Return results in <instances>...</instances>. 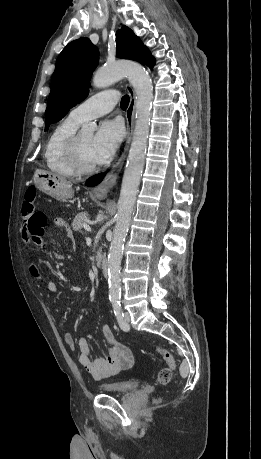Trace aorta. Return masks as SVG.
Returning <instances> with one entry per match:
<instances>
[{"mask_svg":"<svg viewBox=\"0 0 261 459\" xmlns=\"http://www.w3.org/2000/svg\"><path fill=\"white\" fill-rule=\"evenodd\" d=\"M123 77L128 78L136 94V122L122 179L116 225L108 254V283L111 301H118L121 295L120 265L145 164L153 98V86L149 74L141 65L133 62H119L100 68L93 77V85L97 88H105ZM81 130L84 133L92 134L96 130V125L93 122L85 123Z\"/></svg>","mask_w":261,"mask_h":459,"instance_id":"obj_1","label":"aorta"}]
</instances>
